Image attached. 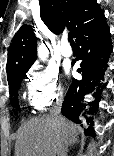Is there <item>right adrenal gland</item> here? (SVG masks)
Returning a JSON list of instances; mask_svg holds the SVG:
<instances>
[{"mask_svg": "<svg viewBox=\"0 0 114 156\" xmlns=\"http://www.w3.org/2000/svg\"><path fill=\"white\" fill-rule=\"evenodd\" d=\"M75 143H78V138L76 136L73 137V139L69 141V143L67 144V147H66V151H68V148L70 146L74 145Z\"/></svg>", "mask_w": 114, "mask_h": 156, "instance_id": "obj_1", "label": "right adrenal gland"}]
</instances>
